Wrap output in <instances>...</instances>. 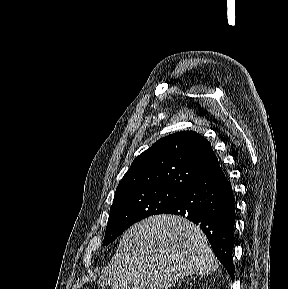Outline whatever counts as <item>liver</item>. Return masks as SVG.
I'll use <instances>...</instances> for the list:
<instances>
[{
	"label": "liver",
	"mask_w": 288,
	"mask_h": 289,
	"mask_svg": "<svg viewBox=\"0 0 288 289\" xmlns=\"http://www.w3.org/2000/svg\"><path fill=\"white\" fill-rule=\"evenodd\" d=\"M219 262L199 226L175 215H155L129 228L98 283L114 289H168L179 278L209 274Z\"/></svg>",
	"instance_id": "1"
}]
</instances>
